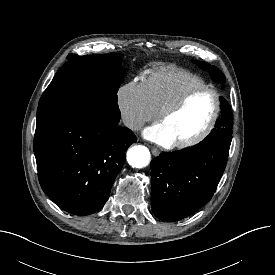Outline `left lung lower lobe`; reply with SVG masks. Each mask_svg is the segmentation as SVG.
<instances>
[{
  "mask_svg": "<svg viewBox=\"0 0 275 275\" xmlns=\"http://www.w3.org/2000/svg\"><path fill=\"white\" fill-rule=\"evenodd\" d=\"M232 134L210 133L192 148L151 161V203L164 221L183 219L210 201L225 170Z\"/></svg>",
  "mask_w": 275,
  "mask_h": 275,
  "instance_id": "obj_1",
  "label": "left lung lower lobe"
}]
</instances>
